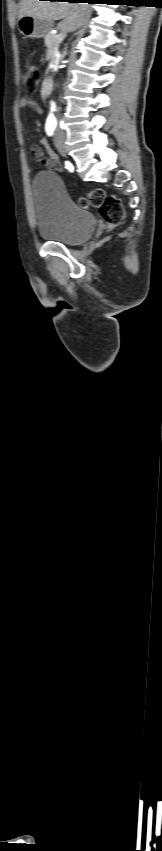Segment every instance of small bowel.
I'll return each instance as SVG.
<instances>
[{
  "instance_id": "1",
  "label": "small bowel",
  "mask_w": 162,
  "mask_h": 851,
  "mask_svg": "<svg viewBox=\"0 0 162 851\" xmlns=\"http://www.w3.org/2000/svg\"><path fill=\"white\" fill-rule=\"evenodd\" d=\"M20 106L22 108H27V109L34 108V109L37 110L38 113H42V109L31 98H22L20 100ZM40 144L44 147H47V145H48L47 141L43 138L40 140ZM31 153H32L34 159L37 162L46 166L47 168L54 169V170L60 169L59 160L54 153L49 152L48 156H45L43 149L40 146H37V145H33L31 147Z\"/></svg>"
}]
</instances>
